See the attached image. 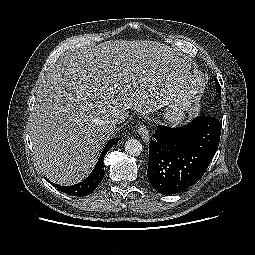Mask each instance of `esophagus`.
I'll return each mask as SVG.
<instances>
[{"mask_svg":"<svg viewBox=\"0 0 255 255\" xmlns=\"http://www.w3.org/2000/svg\"><path fill=\"white\" fill-rule=\"evenodd\" d=\"M138 134L143 139V141L148 142L150 139L149 131L145 124L141 123L137 129Z\"/></svg>","mask_w":255,"mask_h":255,"instance_id":"esophagus-1","label":"esophagus"}]
</instances>
